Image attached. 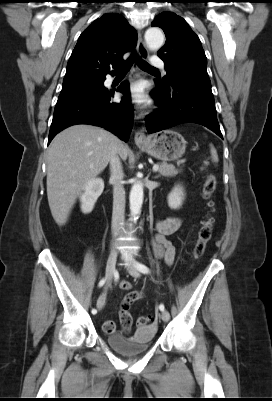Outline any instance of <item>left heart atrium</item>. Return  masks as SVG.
Instances as JSON below:
<instances>
[{"instance_id": "1", "label": "left heart atrium", "mask_w": 272, "mask_h": 401, "mask_svg": "<svg viewBox=\"0 0 272 401\" xmlns=\"http://www.w3.org/2000/svg\"><path fill=\"white\" fill-rule=\"evenodd\" d=\"M129 97L134 103L139 105H143L148 102L144 89L140 84H135L131 87Z\"/></svg>"}]
</instances>
